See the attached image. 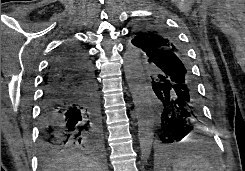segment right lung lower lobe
<instances>
[{"instance_id": "98d812e1", "label": "right lung lower lobe", "mask_w": 245, "mask_h": 171, "mask_svg": "<svg viewBox=\"0 0 245 171\" xmlns=\"http://www.w3.org/2000/svg\"><path fill=\"white\" fill-rule=\"evenodd\" d=\"M41 142L48 148L101 143L99 98L92 62L85 50L69 44L52 59L40 113Z\"/></svg>"}]
</instances>
